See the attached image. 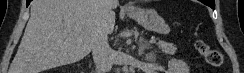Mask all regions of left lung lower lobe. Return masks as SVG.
<instances>
[{
  "label": "left lung lower lobe",
  "mask_w": 244,
  "mask_h": 73,
  "mask_svg": "<svg viewBox=\"0 0 244 73\" xmlns=\"http://www.w3.org/2000/svg\"><path fill=\"white\" fill-rule=\"evenodd\" d=\"M202 3L210 6L211 8H214L215 7V3H214V0H201Z\"/></svg>",
  "instance_id": "obj_1"
}]
</instances>
